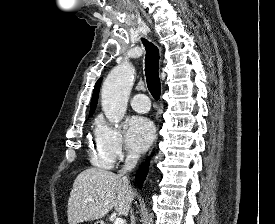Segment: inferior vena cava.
<instances>
[{"instance_id": "inferior-vena-cava-1", "label": "inferior vena cava", "mask_w": 275, "mask_h": 224, "mask_svg": "<svg viewBox=\"0 0 275 224\" xmlns=\"http://www.w3.org/2000/svg\"><path fill=\"white\" fill-rule=\"evenodd\" d=\"M139 159V155L135 152L130 151L126 157L125 164L120 171V176H122V180L125 183H129L127 176H125L126 172L131 171L137 164ZM131 220L133 222L134 216H131Z\"/></svg>"}]
</instances>
